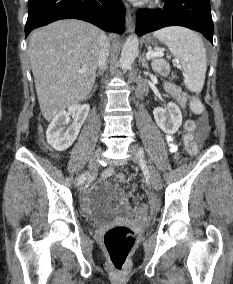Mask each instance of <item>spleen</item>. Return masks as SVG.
<instances>
[{"mask_svg": "<svg viewBox=\"0 0 233 284\" xmlns=\"http://www.w3.org/2000/svg\"><path fill=\"white\" fill-rule=\"evenodd\" d=\"M154 36L181 62L186 87L192 92L200 93L207 70L206 51L201 37L180 26L160 29L154 32Z\"/></svg>", "mask_w": 233, "mask_h": 284, "instance_id": "1", "label": "spleen"}]
</instances>
